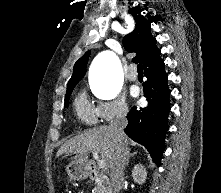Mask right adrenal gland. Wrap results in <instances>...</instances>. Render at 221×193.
<instances>
[{
    "instance_id": "2a0ac1e0",
    "label": "right adrenal gland",
    "mask_w": 221,
    "mask_h": 193,
    "mask_svg": "<svg viewBox=\"0 0 221 193\" xmlns=\"http://www.w3.org/2000/svg\"><path fill=\"white\" fill-rule=\"evenodd\" d=\"M136 154H137V152L130 153V149H128V155H127V159H126V164H125V166H128V165H129V160H130V158H131V157H134Z\"/></svg>"
}]
</instances>
